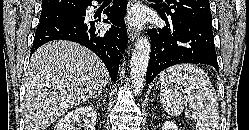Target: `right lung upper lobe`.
Here are the masks:
<instances>
[{"label":"right lung upper lobe","mask_w":249,"mask_h":130,"mask_svg":"<svg viewBox=\"0 0 249 130\" xmlns=\"http://www.w3.org/2000/svg\"><path fill=\"white\" fill-rule=\"evenodd\" d=\"M91 0H42V11L67 10L89 4Z\"/></svg>","instance_id":"1"}]
</instances>
